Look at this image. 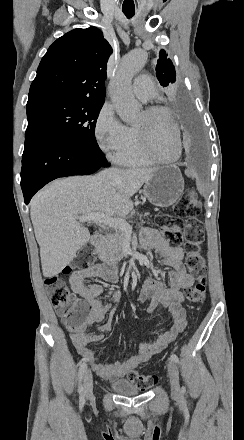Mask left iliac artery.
<instances>
[{
	"mask_svg": "<svg viewBox=\"0 0 244 440\" xmlns=\"http://www.w3.org/2000/svg\"><path fill=\"white\" fill-rule=\"evenodd\" d=\"M170 359L172 361H174L175 363H179V358H178V356L176 354L172 353L171 356H170Z\"/></svg>",
	"mask_w": 244,
	"mask_h": 440,
	"instance_id": "obj_1",
	"label": "left iliac artery"
}]
</instances>
